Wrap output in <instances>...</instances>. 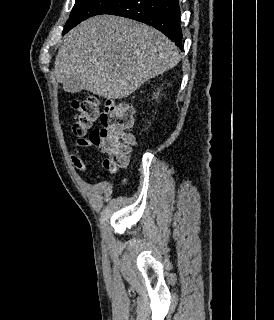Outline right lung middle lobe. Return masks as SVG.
Returning <instances> with one entry per match:
<instances>
[{"label":"right lung middle lobe","mask_w":274,"mask_h":320,"mask_svg":"<svg viewBox=\"0 0 274 320\" xmlns=\"http://www.w3.org/2000/svg\"><path fill=\"white\" fill-rule=\"evenodd\" d=\"M118 0H76L70 17L64 27L63 34L68 32L81 21L99 15Z\"/></svg>","instance_id":"1"}]
</instances>
